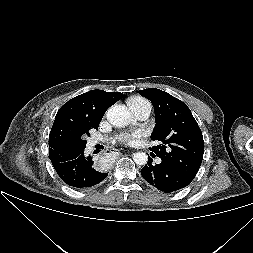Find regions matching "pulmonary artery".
I'll return each mask as SVG.
<instances>
[{"instance_id": "e3ab8cb5", "label": "pulmonary artery", "mask_w": 253, "mask_h": 253, "mask_svg": "<svg viewBox=\"0 0 253 253\" xmlns=\"http://www.w3.org/2000/svg\"><path fill=\"white\" fill-rule=\"evenodd\" d=\"M130 111L138 120H145L151 113V104L144 103L138 105L128 104ZM97 142L95 140L89 142V147L92 148ZM160 162V160H158Z\"/></svg>"}]
</instances>
